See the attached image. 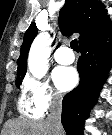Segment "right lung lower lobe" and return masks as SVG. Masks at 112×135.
I'll return each instance as SVG.
<instances>
[{
	"mask_svg": "<svg viewBox=\"0 0 112 135\" xmlns=\"http://www.w3.org/2000/svg\"><path fill=\"white\" fill-rule=\"evenodd\" d=\"M77 69L80 84L65 95L62 103V125L67 135H81L85 119L97 101L112 66V29L80 44Z\"/></svg>",
	"mask_w": 112,
	"mask_h": 135,
	"instance_id": "obj_1",
	"label": "right lung lower lobe"
}]
</instances>
